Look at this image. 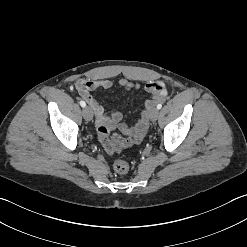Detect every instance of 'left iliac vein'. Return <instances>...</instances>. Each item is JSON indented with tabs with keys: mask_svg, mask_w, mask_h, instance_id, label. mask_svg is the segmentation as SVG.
Masks as SVG:
<instances>
[{
	"mask_svg": "<svg viewBox=\"0 0 247 247\" xmlns=\"http://www.w3.org/2000/svg\"><path fill=\"white\" fill-rule=\"evenodd\" d=\"M159 115V110L157 108H152L149 112V118L151 121H156Z\"/></svg>",
	"mask_w": 247,
	"mask_h": 247,
	"instance_id": "4c4485c4",
	"label": "left iliac vein"
}]
</instances>
